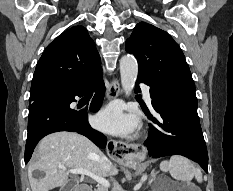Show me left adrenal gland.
<instances>
[{"label":"left adrenal gland","instance_id":"1","mask_svg":"<svg viewBox=\"0 0 233 191\" xmlns=\"http://www.w3.org/2000/svg\"><path fill=\"white\" fill-rule=\"evenodd\" d=\"M155 176H156V173L154 171H152L150 182H152L154 180Z\"/></svg>","mask_w":233,"mask_h":191}]
</instances>
